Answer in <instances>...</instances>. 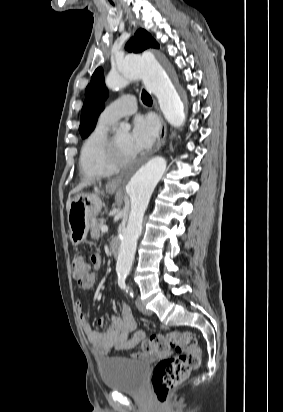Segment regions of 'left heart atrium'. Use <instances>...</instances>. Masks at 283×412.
<instances>
[{
  "mask_svg": "<svg viewBox=\"0 0 283 412\" xmlns=\"http://www.w3.org/2000/svg\"><path fill=\"white\" fill-rule=\"evenodd\" d=\"M159 123L153 115L138 116L130 133V147L135 154L149 148L156 140Z\"/></svg>",
  "mask_w": 283,
  "mask_h": 412,
  "instance_id": "left-heart-atrium-1",
  "label": "left heart atrium"
}]
</instances>
